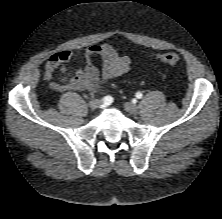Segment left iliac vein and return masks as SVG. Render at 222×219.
I'll return each instance as SVG.
<instances>
[{
	"mask_svg": "<svg viewBox=\"0 0 222 219\" xmlns=\"http://www.w3.org/2000/svg\"><path fill=\"white\" fill-rule=\"evenodd\" d=\"M124 108L130 114H136L138 112V107L131 102L124 103Z\"/></svg>",
	"mask_w": 222,
	"mask_h": 219,
	"instance_id": "4c4485c4",
	"label": "left iliac vein"
}]
</instances>
